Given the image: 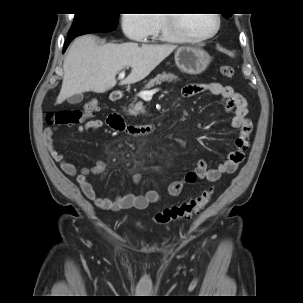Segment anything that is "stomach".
<instances>
[{"mask_svg": "<svg viewBox=\"0 0 303 303\" xmlns=\"http://www.w3.org/2000/svg\"><path fill=\"white\" fill-rule=\"evenodd\" d=\"M210 62V55L201 48L184 46L178 48L175 53L177 67L187 74H201Z\"/></svg>", "mask_w": 303, "mask_h": 303, "instance_id": "1", "label": "stomach"}]
</instances>
